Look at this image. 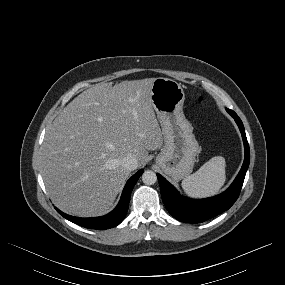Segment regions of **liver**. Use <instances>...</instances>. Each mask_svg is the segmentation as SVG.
<instances>
[{
    "instance_id": "1",
    "label": "liver",
    "mask_w": 285,
    "mask_h": 285,
    "mask_svg": "<svg viewBox=\"0 0 285 285\" xmlns=\"http://www.w3.org/2000/svg\"><path fill=\"white\" fill-rule=\"evenodd\" d=\"M155 78L99 83L79 94L47 129L41 153L47 191L62 211L80 217L106 213L130 172L160 149L163 132L151 102Z\"/></svg>"
}]
</instances>
